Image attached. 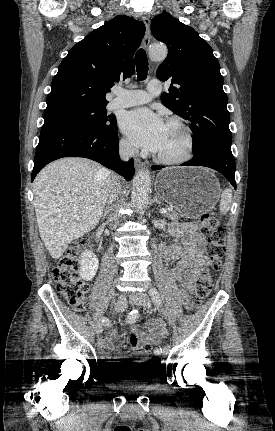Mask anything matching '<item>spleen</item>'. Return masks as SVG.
Here are the masks:
<instances>
[{
    "label": "spleen",
    "mask_w": 275,
    "mask_h": 431,
    "mask_svg": "<svg viewBox=\"0 0 275 431\" xmlns=\"http://www.w3.org/2000/svg\"><path fill=\"white\" fill-rule=\"evenodd\" d=\"M232 201V190L229 188H226L222 194H221V200H220V213L225 215L230 208V204Z\"/></svg>",
    "instance_id": "1"
}]
</instances>
